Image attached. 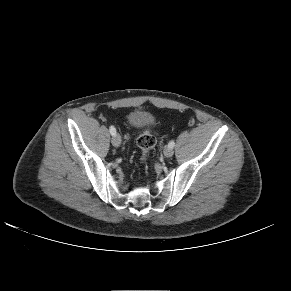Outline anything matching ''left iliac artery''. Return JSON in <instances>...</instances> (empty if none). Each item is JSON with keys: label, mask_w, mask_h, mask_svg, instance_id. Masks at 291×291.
Instances as JSON below:
<instances>
[{"label": "left iliac artery", "mask_w": 291, "mask_h": 291, "mask_svg": "<svg viewBox=\"0 0 291 291\" xmlns=\"http://www.w3.org/2000/svg\"><path fill=\"white\" fill-rule=\"evenodd\" d=\"M169 147L173 148L175 146V142L172 140L168 144Z\"/></svg>", "instance_id": "44dca946"}]
</instances>
